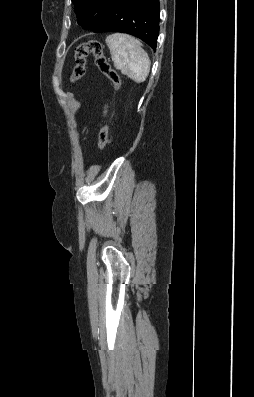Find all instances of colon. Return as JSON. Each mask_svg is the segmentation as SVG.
Wrapping results in <instances>:
<instances>
[{
	"label": "colon",
	"mask_w": 254,
	"mask_h": 397,
	"mask_svg": "<svg viewBox=\"0 0 254 397\" xmlns=\"http://www.w3.org/2000/svg\"><path fill=\"white\" fill-rule=\"evenodd\" d=\"M92 54L95 63L101 73L105 75L112 83L116 92L120 90L121 78L118 73L111 67L107 57L103 52V45L97 40L84 42L75 49V65L71 75V81L76 82L84 77L86 73L87 57ZM110 122L106 123L100 130L98 136V150L102 152L109 141Z\"/></svg>",
	"instance_id": "5ec220e1"
}]
</instances>
